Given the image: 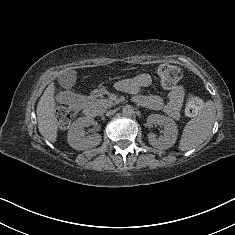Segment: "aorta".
Here are the masks:
<instances>
[{"label": "aorta", "mask_w": 235, "mask_h": 235, "mask_svg": "<svg viewBox=\"0 0 235 235\" xmlns=\"http://www.w3.org/2000/svg\"><path fill=\"white\" fill-rule=\"evenodd\" d=\"M122 113L124 116H132L134 113V108L131 105H125L122 109Z\"/></svg>", "instance_id": "762f6f07"}]
</instances>
